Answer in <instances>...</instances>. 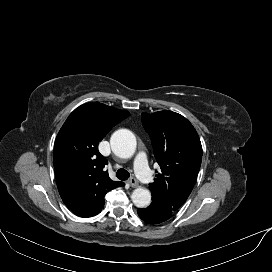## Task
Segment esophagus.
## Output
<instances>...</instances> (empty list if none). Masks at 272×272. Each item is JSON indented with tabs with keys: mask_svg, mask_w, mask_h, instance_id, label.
Returning <instances> with one entry per match:
<instances>
[{
	"mask_svg": "<svg viewBox=\"0 0 272 272\" xmlns=\"http://www.w3.org/2000/svg\"><path fill=\"white\" fill-rule=\"evenodd\" d=\"M129 184H130L131 187H137L138 186V181L134 177H132L129 180Z\"/></svg>",
	"mask_w": 272,
	"mask_h": 272,
	"instance_id": "obj_1",
	"label": "esophagus"
}]
</instances>
